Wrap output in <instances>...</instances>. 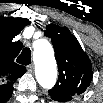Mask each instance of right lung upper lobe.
Returning <instances> with one entry per match:
<instances>
[{
	"label": "right lung upper lobe",
	"mask_w": 103,
	"mask_h": 103,
	"mask_svg": "<svg viewBox=\"0 0 103 103\" xmlns=\"http://www.w3.org/2000/svg\"><path fill=\"white\" fill-rule=\"evenodd\" d=\"M29 24L25 18L0 17V93L8 97L12 94L14 80L26 72L25 67L14 61L22 44L12 40Z\"/></svg>",
	"instance_id": "cb5924a9"
}]
</instances>
